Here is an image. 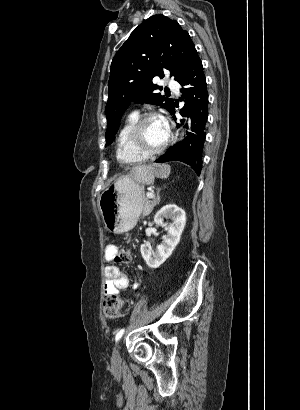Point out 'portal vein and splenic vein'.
Here are the masks:
<instances>
[{"label": "portal vein and splenic vein", "instance_id": "18ae733b", "mask_svg": "<svg viewBox=\"0 0 300 410\" xmlns=\"http://www.w3.org/2000/svg\"><path fill=\"white\" fill-rule=\"evenodd\" d=\"M146 196H147V198H154V194L151 193V192H148V193L146 194Z\"/></svg>", "mask_w": 300, "mask_h": 410}]
</instances>
